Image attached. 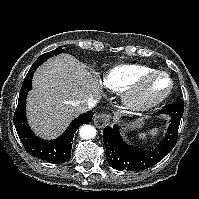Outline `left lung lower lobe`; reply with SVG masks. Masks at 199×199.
Listing matches in <instances>:
<instances>
[{"label": "left lung lower lobe", "mask_w": 199, "mask_h": 199, "mask_svg": "<svg viewBox=\"0 0 199 199\" xmlns=\"http://www.w3.org/2000/svg\"><path fill=\"white\" fill-rule=\"evenodd\" d=\"M183 111L184 102L182 99H178L172 104L164 106L157 113L168 114L171 119L165 137L152 151L127 145L122 140L117 125L106 126L103 130V141L109 165L120 171H140L157 164L174 148L177 142Z\"/></svg>", "instance_id": "1"}]
</instances>
